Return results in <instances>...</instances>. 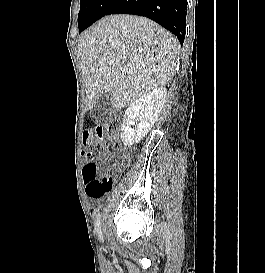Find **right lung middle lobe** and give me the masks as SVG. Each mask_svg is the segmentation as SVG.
<instances>
[{
	"mask_svg": "<svg viewBox=\"0 0 265 273\" xmlns=\"http://www.w3.org/2000/svg\"><path fill=\"white\" fill-rule=\"evenodd\" d=\"M116 0H80L79 33L106 15Z\"/></svg>",
	"mask_w": 265,
	"mask_h": 273,
	"instance_id": "right-lung-middle-lobe-1",
	"label": "right lung middle lobe"
}]
</instances>
